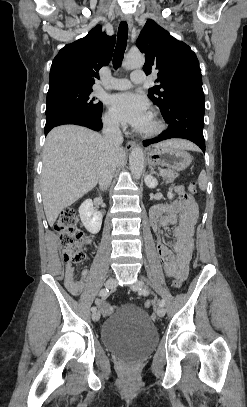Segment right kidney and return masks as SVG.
Masks as SVG:
<instances>
[{"instance_id":"right-kidney-1","label":"right kidney","mask_w":247,"mask_h":407,"mask_svg":"<svg viewBox=\"0 0 247 407\" xmlns=\"http://www.w3.org/2000/svg\"><path fill=\"white\" fill-rule=\"evenodd\" d=\"M79 215L84 227L92 234H97L102 225V213L95 210L91 199L85 200L79 207Z\"/></svg>"}]
</instances>
